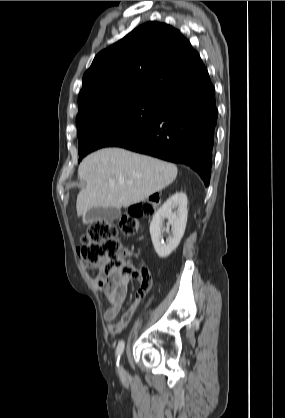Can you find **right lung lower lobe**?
I'll return each mask as SVG.
<instances>
[{"mask_svg": "<svg viewBox=\"0 0 285 418\" xmlns=\"http://www.w3.org/2000/svg\"><path fill=\"white\" fill-rule=\"evenodd\" d=\"M218 111L209 74L162 104L158 117L116 147L188 165L209 185Z\"/></svg>", "mask_w": 285, "mask_h": 418, "instance_id": "98d812e1", "label": "right lung lower lobe"}]
</instances>
